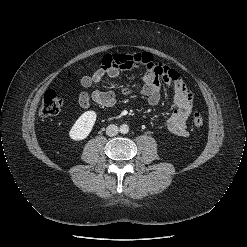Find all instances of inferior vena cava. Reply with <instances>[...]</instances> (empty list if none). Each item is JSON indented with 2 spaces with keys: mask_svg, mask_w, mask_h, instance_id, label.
I'll return each mask as SVG.
<instances>
[{
  "mask_svg": "<svg viewBox=\"0 0 247 247\" xmlns=\"http://www.w3.org/2000/svg\"><path fill=\"white\" fill-rule=\"evenodd\" d=\"M119 128L117 125L114 124H110L107 128H106V134L110 137L112 136H116L118 134Z\"/></svg>",
  "mask_w": 247,
  "mask_h": 247,
  "instance_id": "obj_1",
  "label": "inferior vena cava"
}]
</instances>
